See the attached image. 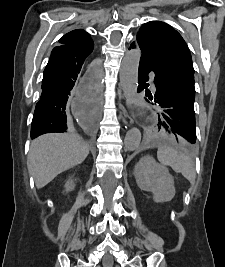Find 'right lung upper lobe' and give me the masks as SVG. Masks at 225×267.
<instances>
[{"mask_svg": "<svg viewBox=\"0 0 225 267\" xmlns=\"http://www.w3.org/2000/svg\"><path fill=\"white\" fill-rule=\"evenodd\" d=\"M59 43L67 45H94L89 34L81 29H76L67 33L59 40Z\"/></svg>", "mask_w": 225, "mask_h": 267, "instance_id": "obj_1", "label": "right lung upper lobe"}]
</instances>
